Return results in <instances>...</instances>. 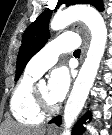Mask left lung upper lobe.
<instances>
[{
  "instance_id": "5c2ea615",
  "label": "left lung upper lobe",
  "mask_w": 112,
  "mask_h": 135,
  "mask_svg": "<svg viewBox=\"0 0 112 135\" xmlns=\"http://www.w3.org/2000/svg\"><path fill=\"white\" fill-rule=\"evenodd\" d=\"M63 3L67 6L75 4H90L99 11L104 10L102 0H59L54 11H56L57 8H59V6ZM51 15V10H45L24 32L22 45L17 57L15 81H17L22 74V71L28 61L47 43L50 36L48 24Z\"/></svg>"
}]
</instances>
